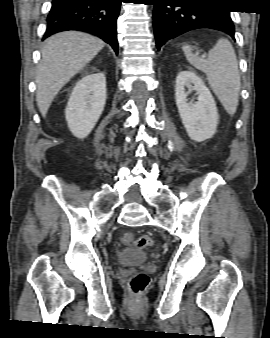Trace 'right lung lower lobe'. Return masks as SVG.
<instances>
[{"instance_id":"1","label":"right lung lower lobe","mask_w":270,"mask_h":338,"mask_svg":"<svg viewBox=\"0 0 270 338\" xmlns=\"http://www.w3.org/2000/svg\"><path fill=\"white\" fill-rule=\"evenodd\" d=\"M123 0H53L44 39L66 30L102 38L118 53L116 20Z\"/></svg>"}]
</instances>
